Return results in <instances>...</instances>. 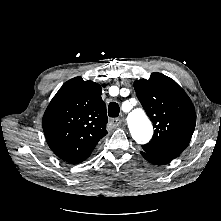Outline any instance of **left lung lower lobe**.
I'll return each instance as SVG.
<instances>
[{"label": "left lung lower lobe", "mask_w": 221, "mask_h": 221, "mask_svg": "<svg viewBox=\"0 0 221 221\" xmlns=\"http://www.w3.org/2000/svg\"><path fill=\"white\" fill-rule=\"evenodd\" d=\"M141 154L147 161L155 165L167 164L174 159V158H169V157L150 155L144 151H142Z\"/></svg>", "instance_id": "1"}]
</instances>
